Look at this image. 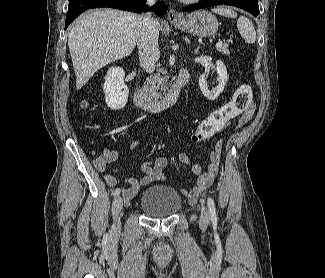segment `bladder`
<instances>
[{
  "instance_id": "bladder-1",
  "label": "bladder",
  "mask_w": 325,
  "mask_h": 278,
  "mask_svg": "<svg viewBox=\"0 0 325 278\" xmlns=\"http://www.w3.org/2000/svg\"><path fill=\"white\" fill-rule=\"evenodd\" d=\"M139 205L147 216L168 217L180 210L182 200L174 188L152 185L143 191Z\"/></svg>"
}]
</instances>
